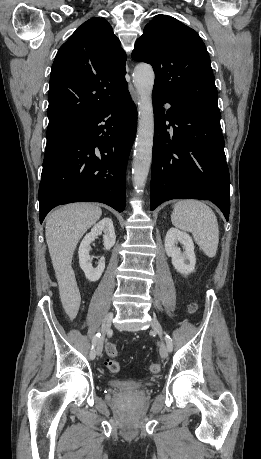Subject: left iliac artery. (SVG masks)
Wrapping results in <instances>:
<instances>
[{
	"label": "left iliac artery",
	"instance_id": "44dca946",
	"mask_svg": "<svg viewBox=\"0 0 261 459\" xmlns=\"http://www.w3.org/2000/svg\"><path fill=\"white\" fill-rule=\"evenodd\" d=\"M165 341H166L169 352H171L173 350V342H172L171 337L169 335H165Z\"/></svg>",
	"mask_w": 261,
	"mask_h": 459
}]
</instances>
